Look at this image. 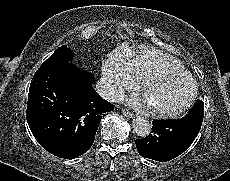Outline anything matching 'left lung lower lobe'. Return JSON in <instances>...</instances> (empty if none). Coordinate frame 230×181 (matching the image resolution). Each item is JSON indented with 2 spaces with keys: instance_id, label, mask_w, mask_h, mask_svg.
<instances>
[{
  "instance_id": "left-lung-lower-lobe-1",
  "label": "left lung lower lobe",
  "mask_w": 230,
  "mask_h": 181,
  "mask_svg": "<svg viewBox=\"0 0 230 181\" xmlns=\"http://www.w3.org/2000/svg\"><path fill=\"white\" fill-rule=\"evenodd\" d=\"M204 116V103L197 100L189 113L178 120L153 121L149 136L136 139L138 153L155 161H169L182 154L197 137Z\"/></svg>"
}]
</instances>
